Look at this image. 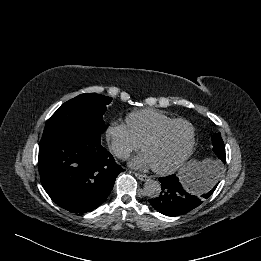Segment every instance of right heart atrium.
Masks as SVG:
<instances>
[{
    "mask_svg": "<svg viewBox=\"0 0 261 261\" xmlns=\"http://www.w3.org/2000/svg\"><path fill=\"white\" fill-rule=\"evenodd\" d=\"M105 138L111 152L120 159H126L141 146L127 125L115 121L106 127Z\"/></svg>",
    "mask_w": 261,
    "mask_h": 261,
    "instance_id": "d8ad5b80",
    "label": "right heart atrium"
}]
</instances>
